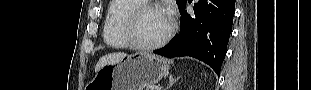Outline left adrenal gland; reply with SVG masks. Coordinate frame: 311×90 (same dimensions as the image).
Masks as SVG:
<instances>
[{"label": "left adrenal gland", "instance_id": "left-adrenal-gland-1", "mask_svg": "<svg viewBox=\"0 0 311 90\" xmlns=\"http://www.w3.org/2000/svg\"><path fill=\"white\" fill-rule=\"evenodd\" d=\"M179 80V78H173V76H169V84L168 86L165 88V90H169V88H171L173 86V84H175V82H177Z\"/></svg>", "mask_w": 311, "mask_h": 90}]
</instances>
